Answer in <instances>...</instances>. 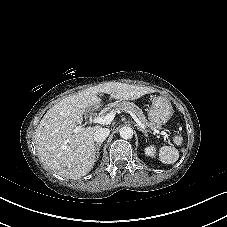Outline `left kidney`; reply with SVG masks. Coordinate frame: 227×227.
Returning <instances> with one entry per match:
<instances>
[{
	"label": "left kidney",
	"instance_id": "5707ae66",
	"mask_svg": "<svg viewBox=\"0 0 227 227\" xmlns=\"http://www.w3.org/2000/svg\"><path fill=\"white\" fill-rule=\"evenodd\" d=\"M144 151L146 156L153 157L156 150L155 147L151 145L147 146Z\"/></svg>",
	"mask_w": 227,
	"mask_h": 227
}]
</instances>
